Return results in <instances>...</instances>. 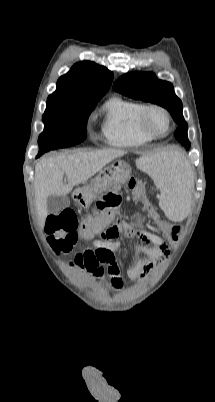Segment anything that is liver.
Returning <instances> with one entry per match:
<instances>
[{"mask_svg": "<svg viewBox=\"0 0 215 402\" xmlns=\"http://www.w3.org/2000/svg\"><path fill=\"white\" fill-rule=\"evenodd\" d=\"M124 154L121 150L104 149L60 154L40 160L35 167L34 187L37 214L42 225L48 216L49 196L69 194L73 187L87 182L108 163ZM64 175L67 183L63 182Z\"/></svg>", "mask_w": 215, "mask_h": 402, "instance_id": "obj_1", "label": "liver"}]
</instances>
